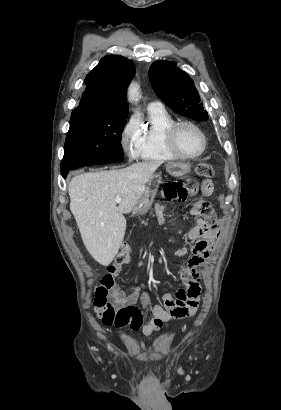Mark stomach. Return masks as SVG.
Masks as SVG:
<instances>
[{
  "instance_id": "0dacf381",
  "label": "stomach",
  "mask_w": 281,
  "mask_h": 410,
  "mask_svg": "<svg viewBox=\"0 0 281 410\" xmlns=\"http://www.w3.org/2000/svg\"><path fill=\"white\" fill-rule=\"evenodd\" d=\"M166 171L172 176L179 177L187 174L190 171V165L186 163L169 162L166 164ZM160 183L161 176L159 174H154L150 178L145 191L143 192L133 209V212L135 214L143 215L148 212L153 203Z\"/></svg>"
}]
</instances>
